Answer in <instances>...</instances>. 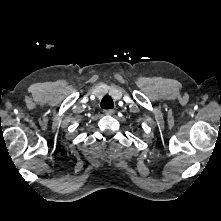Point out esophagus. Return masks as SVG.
Here are the masks:
<instances>
[{
	"instance_id": "1",
	"label": "esophagus",
	"mask_w": 221,
	"mask_h": 221,
	"mask_svg": "<svg viewBox=\"0 0 221 221\" xmlns=\"http://www.w3.org/2000/svg\"><path fill=\"white\" fill-rule=\"evenodd\" d=\"M114 112H115V111H114L113 109L104 110V114H106V115H113Z\"/></svg>"
}]
</instances>
